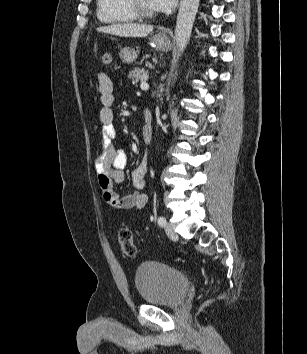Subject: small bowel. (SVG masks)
I'll return each instance as SVG.
<instances>
[{"instance_id":"small-bowel-1","label":"small bowel","mask_w":307,"mask_h":354,"mask_svg":"<svg viewBox=\"0 0 307 354\" xmlns=\"http://www.w3.org/2000/svg\"><path fill=\"white\" fill-rule=\"evenodd\" d=\"M98 90L101 109L99 120L101 130V151L97 158V174L99 186L105 201L114 209H142L148 202V196L142 192L145 188V175L148 169V160L145 157L131 173L132 185L135 189L131 194L121 196L114 190V184L124 180V169L127 166L126 153L116 148V129L114 125V88L110 77L103 71L98 72ZM142 136L146 143L152 138L150 126H145Z\"/></svg>"}]
</instances>
